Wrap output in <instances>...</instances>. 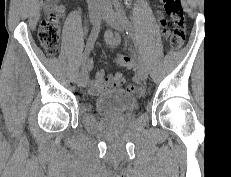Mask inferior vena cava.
I'll return each mask as SVG.
<instances>
[{
    "instance_id": "1",
    "label": "inferior vena cava",
    "mask_w": 231,
    "mask_h": 177,
    "mask_svg": "<svg viewBox=\"0 0 231 177\" xmlns=\"http://www.w3.org/2000/svg\"><path fill=\"white\" fill-rule=\"evenodd\" d=\"M102 1H104V0H88V2H90V3L102 2Z\"/></svg>"
}]
</instances>
